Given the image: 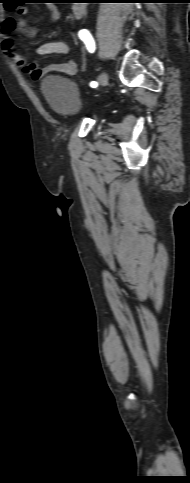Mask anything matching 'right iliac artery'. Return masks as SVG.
Masks as SVG:
<instances>
[{"instance_id": "obj_1", "label": "right iliac artery", "mask_w": 190, "mask_h": 483, "mask_svg": "<svg viewBox=\"0 0 190 483\" xmlns=\"http://www.w3.org/2000/svg\"><path fill=\"white\" fill-rule=\"evenodd\" d=\"M79 38L84 42L87 50L90 53H93L95 51V42L90 34V32L86 29H82L78 33ZM90 86L92 88H96L98 86V83L96 81H92L90 83Z\"/></svg>"}]
</instances>
